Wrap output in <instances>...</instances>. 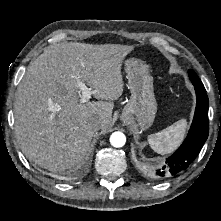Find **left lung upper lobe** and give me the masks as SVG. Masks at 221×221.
Returning <instances> with one entry per match:
<instances>
[{"label":"left lung upper lobe","mask_w":221,"mask_h":221,"mask_svg":"<svg viewBox=\"0 0 221 221\" xmlns=\"http://www.w3.org/2000/svg\"><path fill=\"white\" fill-rule=\"evenodd\" d=\"M188 74L193 84H198L203 86V83L201 82V80L198 78L197 74L193 70L190 69L188 71Z\"/></svg>","instance_id":"obj_1"}]
</instances>
